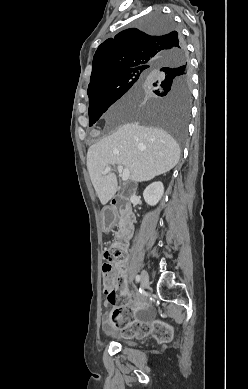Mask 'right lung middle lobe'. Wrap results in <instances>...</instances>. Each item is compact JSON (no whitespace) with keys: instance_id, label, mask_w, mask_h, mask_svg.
<instances>
[{"instance_id":"1","label":"right lung middle lobe","mask_w":248,"mask_h":389,"mask_svg":"<svg viewBox=\"0 0 248 389\" xmlns=\"http://www.w3.org/2000/svg\"><path fill=\"white\" fill-rule=\"evenodd\" d=\"M141 28L151 34H165L174 31L175 25L171 17L154 11L142 19ZM148 76L153 82L150 91L160 96V101L134 105L122 103L116 113L119 117L162 127L182 146L191 106V72L187 59L178 55L150 71L141 69L120 73L109 84L89 93V126L130 88L139 86Z\"/></svg>"}]
</instances>
